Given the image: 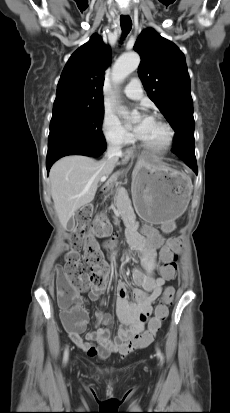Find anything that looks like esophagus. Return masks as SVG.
Segmentation results:
<instances>
[{
  "label": "esophagus",
  "mask_w": 230,
  "mask_h": 413,
  "mask_svg": "<svg viewBox=\"0 0 230 413\" xmlns=\"http://www.w3.org/2000/svg\"><path fill=\"white\" fill-rule=\"evenodd\" d=\"M122 14H123L124 16H126V15H129L130 12H122Z\"/></svg>",
  "instance_id": "obj_1"
}]
</instances>
